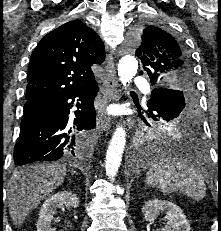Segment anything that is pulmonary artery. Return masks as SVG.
Wrapping results in <instances>:
<instances>
[{
  "mask_svg": "<svg viewBox=\"0 0 221 231\" xmlns=\"http://www.w3.org/2000/svg\"><path fill=\"white\" fill-rule=\"evenodd\" d=\"M134 84L136 86H139V87H145L146 85V80L144 78H137L135 81H134Z\"/></svg>",
  "mask_w": 221,
  "mask_h": 231,
  "instance_id": "pulmonary-artery-1",
  "label": "pulmonary artery"
}]
</instances>
